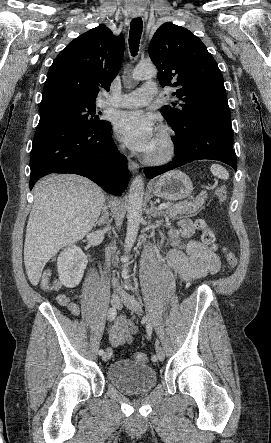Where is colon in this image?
Returning a JSON list of instances; mask_svg holds the SVG:
<instances>
[{"label":"colon","instance_id":"1","mask_svg":"<svg viewBox=\"0 0 271 443\" xmlns=\"http://www.w3.org/2000/svg\"><path fill=\"white\" fill-rule=\"evenodd\" d=\"M214 194L220 203L225 202L227 199V189L224 186H218L214 190ZM196 225H197L198 229H200L202 232L203 242L211 247H215L216 239H217L215 231L213 229L209 228L204 220H198ZM224 255H225V259H226L228 265L230 266V268H235L237 265V262H238L235 254L231 250L225 249ZM47 278H48V275L45 276V278L43 280V285L45 288L49 289L50 287L47 284ZM134 359L140 363H146L148 361L147 355L142 352L135 353Z\"/></svg>","mask_w":271,"mask_h":443}]
</instances>
